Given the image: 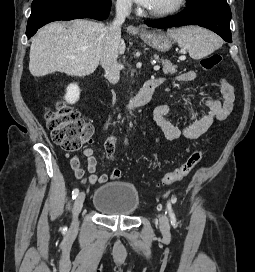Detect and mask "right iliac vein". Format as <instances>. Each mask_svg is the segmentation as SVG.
I'll use <instances>...</instances> for the list:
<instances>
[{
    "label": "right iliac vein",
    "mask_w": 255,
    "mask_h": 272,
    "mask_svg": "<svg viewBox=\"0 0 255 272\" xmlns=\"http://www.w3.org/2000/svg\"><path fill=\"white\" fill-rule=\"evenodd\" d=\"M84 200H85L84 192H81L75 199L74 207H73V222L71 227L72 231H76L78 228V215L83 207Z\"/></svg>",
    "instance_id": "63e3f726"
}]
</instances>
